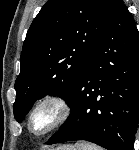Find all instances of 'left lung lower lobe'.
<instances>
[{
    "mask_svg": "<svg viewBox=\"0 0 139 150\" xmlns=\"http://www.w3.org/2000/svg\"><path fill=\"white\" fill-rule=\"evenodd\" d=\"M71 114L45 144L86 140L107 150H132L139 122V35L121 0L67 102Z\"/></svg>",
    "mask_w": 139,
    "mask_h": 150,
    "instance_id": "1",
    "label": "left lung lower lobe"
}]
</instances>
